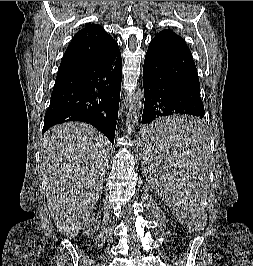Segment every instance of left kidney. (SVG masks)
Instances as JSON below:
<instances>
[{
    "instance_id": "obj_1",
    "label": "left kidney",
    "mask_w": 253,
    "mask_h": 266,
    "mask_svg": "<svg viewBox=\"0 0 253 266\" xmlns=\"http://www.w3.org/2000/svg\"><path fill=\"white\" fill-rule=\"evenodd\" d=\"M185 217L187 218V217H189L188 215H185Z\"/></svg>"
}]
</instances>
